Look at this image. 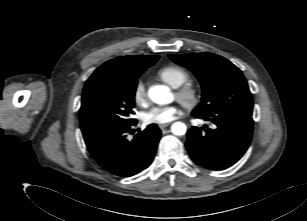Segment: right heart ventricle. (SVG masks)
Listing matches in <instances>:
<instances>
[{"instance_id":"right-heart-ventricle-1","label":"right heart ventricle","mask_w":307,"mask_h":221,"mask_svg":"<svg viewBox=\"0 0 307 221\" xmlns=\"http://www.w3.org/2000/svg\"><path fill=\"white\" fill-rule=\"evenodd\" d=\"M157 77L168 85L176 88L188 81L189 74L186 70L177 65H166L157 71Z\"/></svg>"}]
</instances>
